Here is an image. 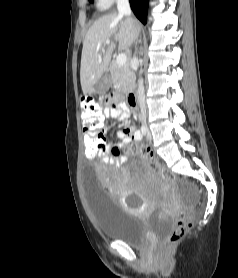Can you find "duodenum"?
<instances>
[{"mask_svg": "<svg viewBox=\"0 0 238 278\" xmlns=\"http://www.w3.org/2000/svg\"><path fill=\"white\" fill-rule=\"evenodd\" d=\"M127 102L130 106L135 107L137 104V96L135 92H130L127 97Z\"/></svg>", "mask_w": 238, "mask_h": 278, "instance_id": "duodenum-1", "label": "duodenum"}]
</instances>
